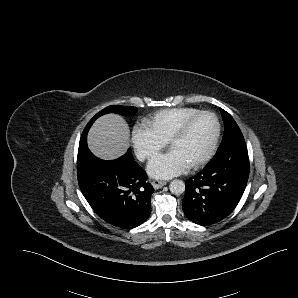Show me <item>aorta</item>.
I'll return each mask as SVG.
<instances>
[{
  "mask_svg": "<svg viewBox=\"0 0 298 298\" xmlns=\"http://www.w3.org/2000/svg\"><path fill=\"white\" fill-rule=\"evenodd\" d=\"M185 182L179 179H174L169 184V190L175 195H180L185 192Z\"/></svg>",
  "mask_w": 298,
  "mask_h": 298,
  "instance_id": "762f6f07",
  "label": "aorta"
}]
</instances>
